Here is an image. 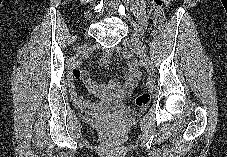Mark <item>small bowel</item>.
I'll use <instances>...</instances> for the list:
<instances>
[{"instance_id": "small-bowel-1", "label": "small bowel", "mask_w": 227, "mask_h": 157, "mask_svg": "<svg viewBox=\"0 0 227 157\" xmlns=\"http://www.w3.org/2000/svg\"><path fill=\"white\" fill-rule=\"evenodd\" d=\"M164 1L168 3L169 0ZM108 58V53H106L102 59L103 65L108 63ZM127 62L128 70L124 84H121L116 80H112L107 85H100L96 83L85 70L81 68L74 69L71 75L70 84L71 97L78 106L85 109H97L105 105L108 101H121L125 99L135 88L140 77V72L135 61L128 56ZM74 81H83L90 92L98 99L97 102L92 103L78 95Z\"/></svg>"}]
</instances>
